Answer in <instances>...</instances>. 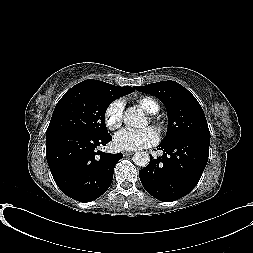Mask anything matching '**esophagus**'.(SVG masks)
Masks as SVG:
<instances>
[{
    "label": "esophagus",
    "mask_w": 253,
    "mask_h": 253,
    "mask_svg": "<svg viewBox=\"0 0 253 253\" xmlns=\"http://www.w3.org/2000/svg\"><path fill=\"white\" fill-rule=\"evenodd\" d=\"M133 154H134V151H124L123 152L124 156H129V155H133Z\"/></svg>",
    "instance_id": "1"
}]
</instances>
